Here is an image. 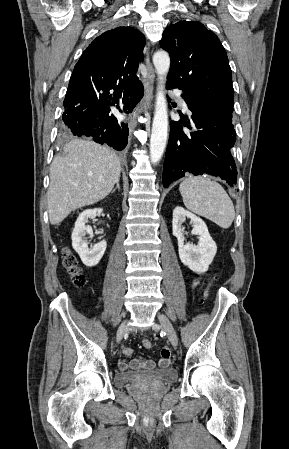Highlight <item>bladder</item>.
Returning <instances> with one entry per match:
<instances>
[{"instance_id": "obj_1", "label": "bladder", "mask_w": 289, "mask_h": 449, "mask_svg": "<svg viewBox=\"0 0 289 449\" xmlns=\"http://www.w3.org/2000/svg\"><path fill=\"white\" fill-rule=\"evenodd\" d=\"M177 379V371L174 368L150 369L147 371H124L116 372L114 383L117 387L128 384H168Z\"/></svg>"}]
</instances>
